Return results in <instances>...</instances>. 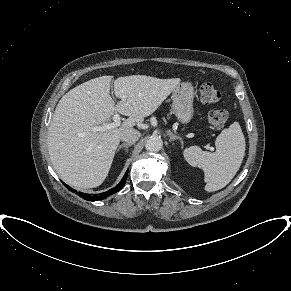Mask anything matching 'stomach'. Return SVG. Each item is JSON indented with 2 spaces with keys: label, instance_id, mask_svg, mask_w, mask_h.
Listing matches in <instances>:
<instances>
[{
  "label": "stomach",
  "instance_id": "0dacf381",
  "mask_svg": "<svg viewBox=\"0 0 291 291\" xmlns=\"http://www.w3.org/2000/svg\"><path fill=\"white\" fill-rule=\"evenodd\" d=\"M194 89L190 83H181L173 90L172 109L178 121L187 124L194 115Z\"/></svg>",
  "mask_w": 291,
  "mask_h": 291
}]
</instances>
